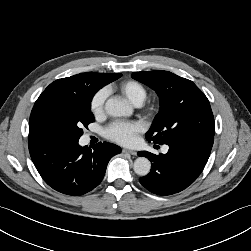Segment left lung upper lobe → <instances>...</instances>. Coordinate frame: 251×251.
Segmentation results:
<instances>
[{
    "label": "left lung upper lobe",
    "instance_id": "left-lung-upper-lobe-1",
    "mask_svg": "<svg viewBox=\"0 0 251 251\" xmlns=\"http://www.w3.org/2000/svg\"><path fill=\"white\" fill-rule=\"evenodd\" d=\"M132 77L159 96L160 111L146 139L157 144L207 136L214 137V117L207 97L190 80L168 71L133 72Z\"/></svg>",
    "mask_w": 251,
    "mask_h": 251
}]
</instances>
